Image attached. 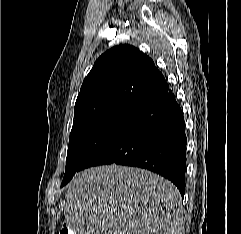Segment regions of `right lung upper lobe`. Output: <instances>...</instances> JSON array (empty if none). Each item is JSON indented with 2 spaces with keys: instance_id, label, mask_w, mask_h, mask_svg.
Segmentation results:
<instances>
[{
  "instance_id": "obj_1",
  "label": "right lung upper lobe",
  "mask_w": 241,
  "mask_h": 234,
  "mask_svg": "<svg viewBox=\"0 0 241 234\" xmlns=\"http://www.w3.org/2000/svg\"><path fill=\"white\" fill-rule=\"evenodd\" d=\"M166 83L151 58L131 45L102 54L84 79L75 110L112 101L138 104Z\"/></svg>"
}]
</instances>
